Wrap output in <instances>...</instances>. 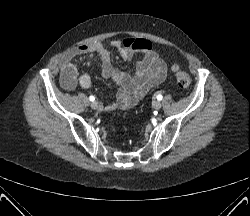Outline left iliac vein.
Segmentation results:
<instances>
[{
	"label": "left iliac vein",
	"instance_id": "1",
	"mask_svg": "<svg viewBox=\"0 0 250 216\" xmlns=\"http://www.w3.org/2000/svg\"><path fill=\"white\" fill-rule=\"evenodd\" d=\"M153 108L155 109V110H159L160 108H161V102L160 101H154L153 102Z\"/></svg>",
	"mask_w": 250,
	"mask_h": 216
}]
</instances>
